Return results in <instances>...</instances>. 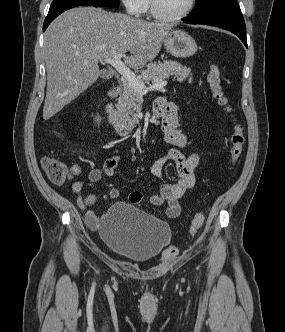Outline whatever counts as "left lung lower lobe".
I'll use <instances>...</instances> for the list:
<instances>
[{"mask_svg":"<svg viewBox=\"0 0 285 332\" xmlns=\"http://www.w3.org/2000/svg\"><path fill=\"white\" fill-rule=\"evenodd\" d=\"M183 21L190 24H206L226 29L236 34L247 47L246 27L242 13L226 14L209 18L186 17Z\"/></svg>","mask_w":285,"mask_h":332,"instance_id":"obj_1","label":"left lung lower lobe"}]
</instances>
